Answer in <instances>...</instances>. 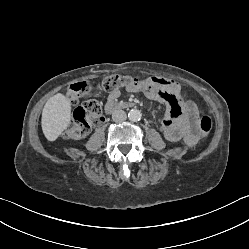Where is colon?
Returning <instances> with one entry per match:
<instances>
[{
  "label": "colon",
  "mask_w": 249,
  "mask_h": 249,
  "mask_svg": "<svg viewBox=\"0 0 249 249\" xmlns=\"http://www.w3.org/2000/svg\"><path fill=\"white\" fill-rule=\"evenodd\" d=\"M138 83L136 78L130 76L111 75L103 79L98 86L100 89L112 91L122 87L132 86ZM90 89L87 82H76L69 86L67 96L72 101H77ZM103 107L96 100H89L74 112L73 118L64 132V136L69 139H81L85 137L92 126L99 123L102 118ZM199 129L203 135H207L212 130V120L209 116L203 115L199 120Z\"/></svg>",
  "instance_id": "5ec220e1"
}]
</instances>
